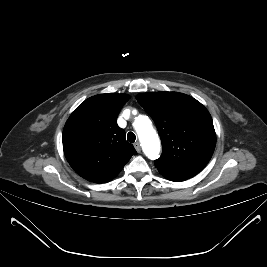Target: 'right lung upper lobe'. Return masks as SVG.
I'll return each instance as SVG.
<instances>
[{
  "label": "right lung upper lobe",
  "mask_w": 267,
  "mask_h": 267,
  "mask_svg": "<svg viewBox=\"0 0 267 267\" xmlns=\"http://www.w3.org/2000/svg\"><path fill=\"white\" fill-rule=\"evenodd\" d=\"M126 94H99L85 100L63 129L65 156L84 179L105 183L115 178L137 152L117 125Z\"/></svg>",
  "instance_id": "1"
}]
</instances>
